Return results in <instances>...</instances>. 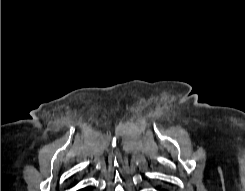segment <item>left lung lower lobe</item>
Listing matches in <instances>:
<instances>
[{
	"instance_id": "0a47b994",
	"label": "left lung lower lobe",
	"mask_w": 245,
	"mask_h": 191,
	"mask_svg": "<svg viewBox=\"0 0 245 191\" xmlns=\"http://www.w3.org/2000/svg\"><path fill=\"white\" fill-rule=\"evenodd\" d=\"M160 191H168L167 189H162V190H160Z\"/></svg>"
}]
</instances>
